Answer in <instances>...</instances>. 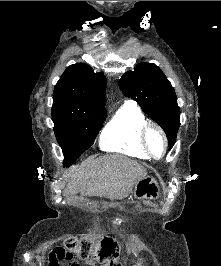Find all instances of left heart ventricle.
Instances as JSON below:
<instances>
[{"label":"left heart ventricle","instance_id":"1","mask_svg":"<svg viewBox=\"0 0 221 266\" xmlns=\"http://www.w3.org/2000/svg\"><path fill=\"white\" fill-rule=\"evenodd\" d=\"M149 144L154 154L160 155L163 148V143L160 136L154 132L150 134Z\"/></svg>","mask_w":221,"mask_h":266}]
</instances>
